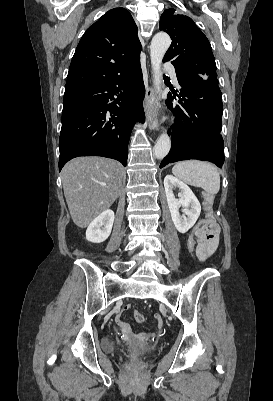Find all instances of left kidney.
<instances>
[{
  "instance_id": "left-kidney-1",
  "label": "left kidney",
  "mask_w": 273,
  "mask_h": 401,
  "mask_svg": "<svg viewBox=\"0 0 273 401\" xmlns=\"http://www.w3.org/2000/svg\"><path fill=\"white\" fill-rule=\"evenodd\" d=\"M164 186L171 219L179 233H187V231L195 225L201 213V205L198 198L187 184H184L182 180H178V178H175L172 174H166ZM172 188H180L182 192L180 198H175ZM181 205L185 207L183 213H185L187 217H181L179 213V207H181Z\"/></svg>"
}]
</instances>
